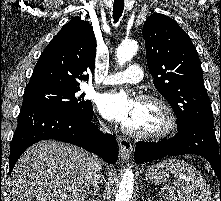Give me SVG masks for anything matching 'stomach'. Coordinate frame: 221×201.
<instances>
[{
    "mask_svg": "<svg viewBox=\"0 0 221 201\" xmlns=\"http://www.w3.org/2000/svg\"><path fill=\"white\" fill-rule=\"evenodd\" d=\"M145 178L151 184L161 185L168 179V170L157 165L151 166L147 169Z\"/></svg>",
    "mask_w": 221,
    "mask_h": 201,
    "instance_id": "obj_1",
    "label": "stomach"
}]
</instances>
